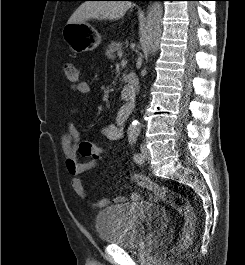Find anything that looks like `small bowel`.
<instances>
[{
	"label": "small bowel",
	"instance_id": "1",
	"mask_svg": "<svg viewBox=\"0 0 245 265\" xmlns=\"http://www.w3.org/2000/svg\"><path fill=\"white\" fill-rule=\"evenodd\" d=\"M75 90L80 94H89L91 92V86L85 82L81 81L76 86ZM78 109H73L70 114L77 113ZM101 135L110 141H117L122 138L123 132L120 126L117 124H106L101 128ZM80 139V132L73 121L66 122V129L60 134L61 148L65 157V165L67 172L71 175V187L76 195L82 199L87 198V193L83 185L81 175L96 166V162L91 161H81L77 154V144ZM150 201L159 200V196L151 192L148 195ZM141 195L139 193H132L130 196L131 201H139ZM127 199L124 196L118 195L112 200L107 198L100 199L96 202H90V205L94 208H103L110 203H123Z\"/></svg>",
	"mask_w": 245,
	"mask_h": 265
}]
</instances>
